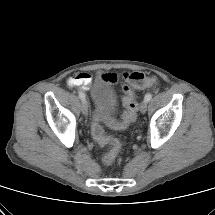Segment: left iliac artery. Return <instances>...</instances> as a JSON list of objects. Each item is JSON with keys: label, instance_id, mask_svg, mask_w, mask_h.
Returning <instances> with one entry per match:
<instances>
[{"label": "left iliac artery", "instance_id": "obj_1", "mask_svg": "<svg viewBox=\"0 0 215 215\" xmlns=\"http://www.w3.org/2000/svg\"><path fill=\"white\" fill-rule=\"evenodd\" d=\"M152 99V94L151 93H147L144 97V100L149 102Z\"/></svg>", "mask_w": 215, "mask_h": 215}]
</instances>
